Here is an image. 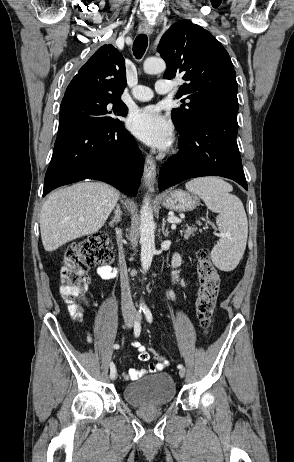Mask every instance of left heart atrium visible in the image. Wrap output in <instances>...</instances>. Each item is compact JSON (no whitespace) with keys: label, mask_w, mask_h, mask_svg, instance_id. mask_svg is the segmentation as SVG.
I'll use <instances>...</instances> for the list:
<instances>
[{"label":"left heart atrium","mask_w":294,"mask_h":462,"mask_svg":"<svg viewBox=\"0 0 294 462\" xmlns=\"http://www.w3.org/2000/svg\"><path fill=\"white\" fill-rule=\"evenodd\" d=\"M128 127L137 138L160 150L167 148L173 139L171 122L161 115L156 106L134 111L128 119Z\"/></svg>","instance_id":"1"}]
</instances>
